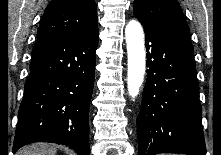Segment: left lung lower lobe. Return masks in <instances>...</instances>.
I'll list each match as a JSON object with an SVG mask.
<instances>
[{
    "instance_id": "left-lung-lower-lobe-1",
    "label": "left lung lower lobe",
    "mask_w": 221,
    "mask_h": 155,
    "mask_svg": "<svg viewBox=\"0 0 221 155\" xmlns=\"http://www.w3.org/2000/svg\"><path fill=\"white\" fill-rule=\"evenodd\" d=\"M135 17L144 27L149 67L137 117L139 155H206L191 40Z\"/></svg>"
}]
</instances>
